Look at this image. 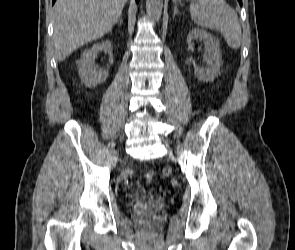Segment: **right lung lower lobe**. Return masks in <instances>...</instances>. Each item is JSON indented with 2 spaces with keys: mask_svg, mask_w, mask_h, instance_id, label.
Listing matches in <instances>:
<instances>
[{
  "mask_svg": "<svg viewBox=\"0 0 295 250\" xmlns=\"http://www.w3.org/2000/svg\"><path fill=\"white\" fill-rule=\"evenodd\" d=\"M56 0H53V4H54V2H55ZM137 2L139 1V0H136Z\"/></svg>",
  "mask_w": 295,
  "mask_h": 250,
  "instance_id": "right-lung-lower-lobe-1",
  "label": "right lung lower lobe"
}]
</instances>
